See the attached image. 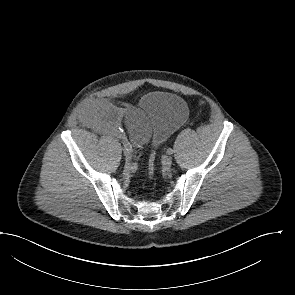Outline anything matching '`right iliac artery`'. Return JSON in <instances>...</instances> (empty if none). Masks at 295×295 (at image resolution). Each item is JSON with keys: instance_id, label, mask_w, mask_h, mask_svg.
<instances>
[{"instance_id": "right-iliac-artery-1", "label": "right iliac artery", "mask_w": 295, "mask_h": 295, "mask_svg": "<svg viewBox=\"0 0 295 295\" xmlns=\"http://www.w3.org/2000/svg\"><path fill=\"white\" fill-rule=\"evenodd\" d=\"M122 139H123V145H124L125 150L132 151V147H131L130 143L127 140H125L124 137H122Z\"/></svg>"}]
</instances>
